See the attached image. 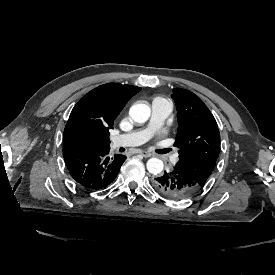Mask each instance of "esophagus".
Listing matches in <instances>:
<instances>
[{"instance_id": "1", "label": "esophagus", "mask_w": 275, "mask_h": 275, "mask_svg": "<svg viewBox=\"0 0 275 275\" xmlns=\"http://www.w3.org/2000/svg\"><path fill=\"white\" fill-rule=\"evenodd\" d=\"M138 154H141L144 158H149L151 154L145 150H140Z\"/></svg>"}]
</instances>
